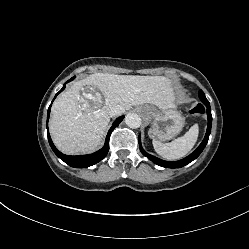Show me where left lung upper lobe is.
<instances>
[{"label":"left lung upper lobe","instance_id":"1","mask_svg":"<svg viewBox=\"0 0 249 249\" xmlns=\"http://www.w3.org/2000/svg\"><path fill=\"white\" fill-rule=\"evenodd\" d=\"M203 95H205V94L203 93L202 90H200V91H199V98H200L201 96H203Z\"/></svg>","mask_w":249,"mask_h":249}]
</instances>
